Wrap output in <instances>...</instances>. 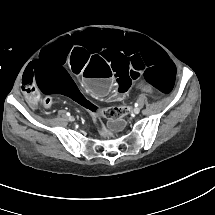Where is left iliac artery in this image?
Returning a JSON list of instances; mask_svg holds the SVG:
<instances>
[{
    "instance_id": "obj_1",
    "label": "left iliac artery",
    "mask_w": 215,
    "mask_h": 215,
    "mask_svg": "<svg viewBox=\"0 0 215 215\" xmlns=\"http://www.w3.org/2000/svg\"><path fill=\"white\" fill-rule=\"evenodd\" d=\"M138 106H139V104L136 102V103H135V107H138Z\"/></svg>"
}]
</instances>
